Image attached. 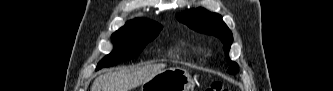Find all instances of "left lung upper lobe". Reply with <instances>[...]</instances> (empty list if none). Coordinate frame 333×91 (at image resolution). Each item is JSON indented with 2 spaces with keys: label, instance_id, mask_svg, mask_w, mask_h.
Instances as JSON below:
<instances>
[{
  "label": "left lung upper lobe",
  "instance_id": "obj_1",
  "mask_svg": "<svg viewBox=\"0 0 333 91\" xmlns=\"http://www.w3.org/2000/svg\"><path fill=\"white\" fill-rule=\"evenodd\" d=\"M177 19L197 32L213 35L223 42V49L227 62L230 65L228 72L234 74L238 71V65L229 59L228 53L233 42L230 29L223 22L219 14L211 13L203 8L186 10L176 15Z\"/></svg>",
  "mask_w": 333,
  "mask_h": 91
}]
</instances>
